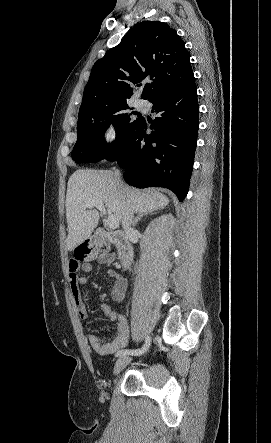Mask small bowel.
<instances>
[{
	"label": "small bowel",
	"mask_w": 271,
	"mask_h": 443,
	"mask_svg": "<svg viewBox=\"0 0 271 443\" xmlns=\"http://www.w3.org/2000/svg\"><path fill=\"white\" fill-rule=\"evenodd\" d=\"M82 270L89 273L93 270L90 263H75L72 259L69 263V282L70 290L73 295L77 313L81 319L88 317L86 306L82 300L80 286L87 284L88 280L85 276H79L78 272ZM107 275L113 281L111 290V297L116 302H122L125 298L127 290V282L123 276L112 269H107ZM102 311L111 323H117L114 337L109 341L98 339L92 334L88 335V340L91 348L100 355H109L124 348L129 341V327L126 319L112 309L108 304L102 305Z\"/></svg>",
	"instance_id": "obj_1"
}]
</instances>
